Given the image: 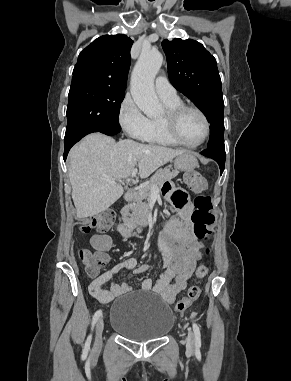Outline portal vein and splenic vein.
Instances as JSON below:
<instances>
[{
	"label": "portal vein and splenic vein",
	"mask_w": 291,
	"mask_h": 381,
	"mask_svg": "<svg viewBox=\"0 0 291 381\" xmlns=\"http://www.w3.org/2000/svg\"><path fill=\"white\" fill-rule=\"evenodd\" d=\"M136 174H137V169L134 168V169L132 170L131 177H132V178L135 177ZM105 179H106V181H107L109 184H111V185H115V184H117L116 181H114V180H112V179H110V178H105ZM129 181H130V178H127V179H126V182H129ZM120 182H121L122 184H124L123 181H120ZM158 191H159V188H158L156 185H153V186H152V192L157 193Z\"/></svg>",
	"instance_id": "1"
}]
</instances>
